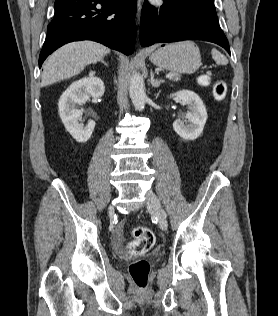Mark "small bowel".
<instances>
[{"label":"small bowel","instance_id":"c3829d8e","mask_svg":"<svg viewBox=\"0 0 278 316\" xmlns=\"http://www.w3.org/2000/svg\"><path fill=\"white\" fill-rule=\"evenodd\" d=\"M115 239H116V242H118V240H119V229H118V231H117V233H116Z\"/></svg>","mask_w":278,"mask_h":316}]
</instances>
